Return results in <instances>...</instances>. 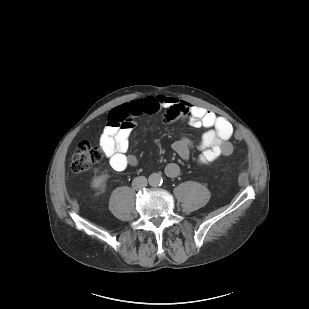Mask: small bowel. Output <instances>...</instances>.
Listing matches in <instances>:
<instances>
[{"label": "small bowel", "mask_w": 309, "mask_h": 309, "mask_svg": "<svg viewBox=\"0 0 309 309\" xmlns=\"http://www.w3.org/2000/svg\"><path fill=\"white\" fill-rule=\"evenodd\" d=\"M162 109L166 110L165 118L168 121L186 118L190 126L206 129L199 143L198 161L200 164L207 165L220 156L232 154L233 146L230 139L234 130L226 118L217 116L206 108L179 101L171 96L156 95L132 100L111 111L99 143L114 171L121 172L137 165L136 157L128 154L133 124L123 122L124 119L132 120L133 117L139 115L155 114ZM173 148L183 160H188L192 142L183 136L173 144ZM165 173L168 177L175 178L180 174V167L175 163L168 164Z\"/></svg>", "instance_id": "1"}]
</instances>
